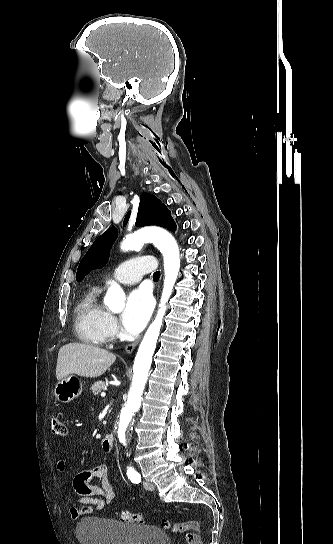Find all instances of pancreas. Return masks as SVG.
<instances>
[{
    "label": "pancreas",
    "instance_id": "cf45deb5",
    "mask_svg": "<svg viewBox=\"0 0 333 544\" xmlns=\"http://www.w3.org/2000/svg\"><path fill=\"white\" fill-rule=\"evenodd\" d=\"M90 389L95 395H98L101 391L106 389V384L104 381H97L91 386Z\"/></svg>",
    "mask_w": 333,
    "mask_h": 544
}]
</instances>
